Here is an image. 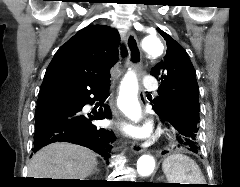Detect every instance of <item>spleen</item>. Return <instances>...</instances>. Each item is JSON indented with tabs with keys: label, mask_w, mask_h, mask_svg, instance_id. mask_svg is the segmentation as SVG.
<instances>
[{
	"label": "spleen",
	"mask_w": 240,
	"mask_h": 187,
	"mask_svg": "<svg viewBox=\"0 0 240 187\" xmlns=\"http://www.w3.org/2000/svg\"><path fill=\"white\" fill-rule=\"evenodd\" d=\"M162 169L169 183L205 184L200 168L188 156L173 154L164 160Z\"/></svg>",
	"instance_id": "obj_1"
}]
</instances>
